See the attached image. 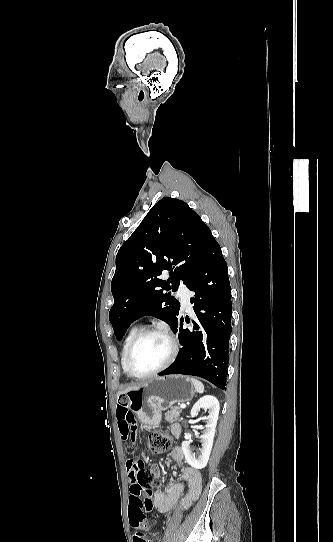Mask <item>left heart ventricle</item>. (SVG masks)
<instances>
[{
  "mask_svg": "<svg viewBox=\"0 0 333 542\" xmlns=\"http://www.w3.org/2000/svg\"><path fill=\"white\" fill-rule=\"evenodd\" d=\"M168 353V343L162 336H146L134 348L130 360L131 370L136 375L150 373L165 362Z\"/></svg>",
  "mask_w": 333,
  "mask_h": 542,
  "instance_id": "1",
  "label": "left heart ventricle"
}]
</instances>
